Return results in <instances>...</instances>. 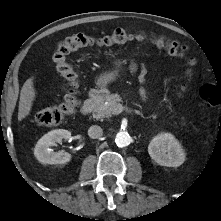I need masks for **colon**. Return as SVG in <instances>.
I'll use <instances>...</instances> for the list:
<instances>
[{"mask_svg":"<svg viewBox=\"0 0 221 221\" xmlns=\"http://www.w3.org/2000/svg\"><path fill=\"white\" fill-rule=\"evenodd\" d=\"M133 40H150L173 56L182 57L187 51L184 45L163 35H148L145 32H131L123 28L115 29L112 33L100 37H93L83 33L68 36L58 43L52 56L57 73L66 81L65 95L59 105L35 112V120L44 126H56L66 117L75 113L78 106L79 78L77 70L67 60L66 56L69 53L86 47H111ZM195 64V59L192 58L189 60L190 66H194ZM182 88L184 87L182 86ZM200 96L209 106L221 104V93L217 87L211 84H204L201 87Z\"/></svg>","mask_w":221,"mask_h":221,"instance_id":"1","label":"colon"}]
</instances>
